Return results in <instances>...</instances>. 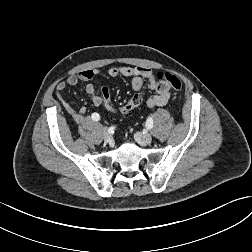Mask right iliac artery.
<instances>
[{
  "label": "right iliac artery",
  "instance_id": "1",
  "mask_svg": "<svg viewBox=\"0 0 252 252\" xmlns=\"http://www.w3.org/2000/svg\"><path fill=\"white\" fill-rule=\"evenodd\" d=\"M92 119H93L94 121H98V120H100V115H99L98 113H93V114H92Z\"/></svg>",
  "mask_w": 252,
  "mask_h": 252
}]
</instances>
